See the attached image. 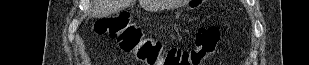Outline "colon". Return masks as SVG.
<instances>
[{
  "label": "colon",
  "mask_w": 309,
  "mask_h": 65,
  "mask_svg": "<svg viewBox=\"0 0 309 65\" xmlns=\"http://www.w3.org/2000/svg\"><path fill=\"white\" fill-rule=\"evenodd\" d=\"M95 29L97 34L116 40L121 50L146 65H200L215 52L220 40L218 27L204 26L198 30L193 48L166 47L161 41L146 37L127 12L101 18Z\"/></svg>",
  "instance_id": "1"
}]
</instances>
